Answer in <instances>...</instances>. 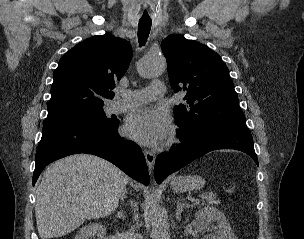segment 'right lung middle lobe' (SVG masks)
Listing matches in <instances>:
<instances>
[{
	"instance_id": "1",
	"label": "right lung middle lobe",
	"mask_w": 304,
	"mask_h": 239,
	"mask_svg": "<svg viewBox=\"0 0 304 239\" xmlns=\"http://www.w3.org/2000/svg\"><path fill=\"white\" fill-rule=\"evenodd\" d=\"M115 119L106 117L103 107L80 111L77 113L50 117L44 121L43 129L48 127L65 125H109L115 122Z\"/></svg>"
}]
</instances>
